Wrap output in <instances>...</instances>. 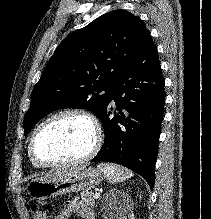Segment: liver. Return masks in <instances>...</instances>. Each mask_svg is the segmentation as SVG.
<instances>
[{"label":"liver","instance_id":"6515ba94","mask_svg":"<svg viewBox=\"0 0 211 219\" xmlns=\"http://www.w3.org/2000/svg\"><path fill=\"white\" fill-rule=\"evenodd\" d=\"M68 173V170H57L46 174L44 177L38 178L37 180H50L53 178H58L65 176Z\"/></svg>","mask_w":211,"mask_h":219}]
</instances>
